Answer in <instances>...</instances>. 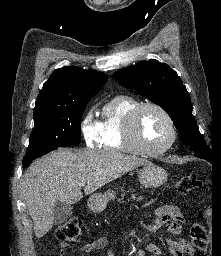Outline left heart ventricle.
I'll list each match as a JSON object with an SVG mask.
<instances>
[{
  "mask_svg": "<svg viewBox=\"0 0 221 256\" xmlns=\"http://www.w3.org/2000/svg\"><path fill=\"white\" fill-rule=\"evenodd\" d=\"M139 134L149 148L162 147L170 137V129L165 117L154 108H146L139 118Z\"/></svg>",
  "mask_w": 221,
  "mask_h": 256,
  "instance_id": "obj_1",
  "label": "left heart ventricle"
}]
</instances>
